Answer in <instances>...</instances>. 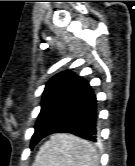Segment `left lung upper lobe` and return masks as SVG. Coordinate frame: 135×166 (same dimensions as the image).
<instances>
[{"mask_svg":"<svg viewBox=\"0 0 135 166\" xmlns=\"http://www.w3.org/2000/svg\"><path fill=\"white\" fill-rule=\"evenodd\" d=\"M78 80V76L71 71L61 72L49 80L43 92L41 111L35 129L55 110L56 105L70 93Z\"/></svg>","mask_w":135,"mask_h":166,"instance_id":"left-lung-upper-lobe-1","label":"left lung upper lobe"}]
</instances>
